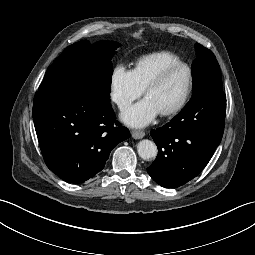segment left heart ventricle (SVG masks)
I'll use <instances>...</instances> for the list:
<instances>
[{"mask_svg": "<svg viewBox=\"0 0 255 255\" xmlns=\"http://www.w3.org/2000/svg\"><path fill=\"white\" fill-rule=\"evenodd\" d=\"M188 86L186 69L177 67L171 70L163 81L145 96L159 111L178 104L184 97Z\"/></svg>", "mask_w": 255, "mask_h": 255, "instance_id": "b2bd125f", "label": "left heart ventricle"}]
</instances>
